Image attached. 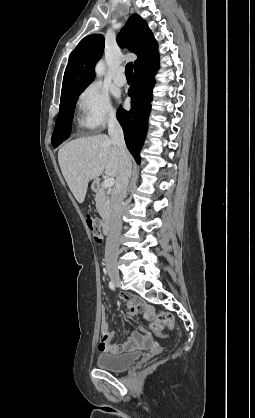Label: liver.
Listing matches in <instances>:
<instances>
[{
  "mask_svg": "<svg viewBox=\"0 0 255 418\" xmlns=\"http://www.w3.org/2000/svg\"><path fill=\"white\" fill-rule=\"evenodd\" d=\"M119 160L118 147L104 134L72 140L58 152L62 174L80 204L84 202L89 181L104 171L109 177L117 176Z\"/></svg>",
  "mask_w": 255,
  "mask_h": 418,
  "instance_id": "1",
  "label": "liver"
}]
</instances>
